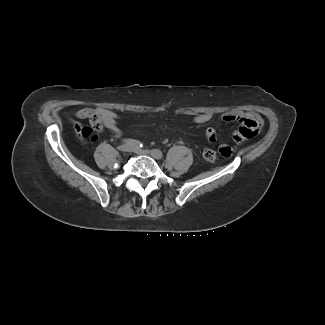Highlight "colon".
Listing matches in <instances>:
<instances>
[{
    "label": "colon",
    "mask_w": 325,
    "mask_h": 325,
    "mask_svg": "<svg viewBox=\"0 0 325 325\" xmlns=\"http://www.w3.org/2000/svg\"><path fill=\"white\" fill-rule=\"evenodd\" d=\"M93 132L91 127H83L82 133L84 136H93ZM203 157L205 160L213 163L217 160V153L210 148H205L203 150Z\"/></svg>",
    "instance_id": "1"
}]
</instances>
